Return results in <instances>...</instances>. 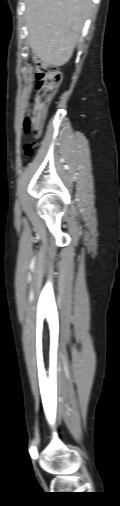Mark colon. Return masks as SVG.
I'll return each instance as SVG.
<instances>
[{
    "label": "colon",
    "mask_w": 120,
    "mask_h": 506,
    "mask_svg": "<svg viewBox=\"0 0 120 506\" xmlns=\"http://www.w3.org/2000/svg\"><path fill=\"white\" fill-rule=\"evenodd\" d=\"M23 55L27 58L30 54L26 51ZM36 78L37 91L29 104L24 121L25 132L31 134L34 138H38L41 134L46 108L58 89L62 75L54 68L39 64L36 68ZM35 146V142L25 145L26 157L33 155Z\"/></svg>",
    "instance_id": "1"
}]
</instances>
